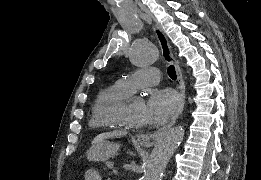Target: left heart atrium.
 <instances>
[{
	"mask_svg": "<svg viewBox=\"0 0 261 180\" xmlns=\"http://www.w3.org/2000/svg\"><path fill=\"white\" fill-rule=\"evenodd\" d=\"M180 105V97L174 90L155 89L150 92L144 103V115L150 123L161 121L176 113Z\"/></svg>",
	"mask_w": 261,
	"mask_h": 180,
	"instance_id": "left-heart-atrium-1",
	"label": "left heart atrium"
}]
</instances>
